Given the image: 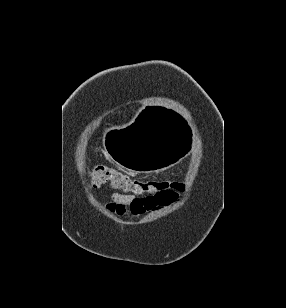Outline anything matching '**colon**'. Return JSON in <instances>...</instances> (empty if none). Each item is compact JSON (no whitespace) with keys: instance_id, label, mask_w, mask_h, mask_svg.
Wrapping results in <instances>:
<instances>
[{"instance_id":"obj_1","label":"colon","mask_w":286,"mask_h":308,"mask_svg":"<svg viewBox=\"0 0 286 308\" xmlns=\"http://www.w3.org/2000/svg\"><path fill=\"white\" fill-rule=\"evenodd\" d=\"M90 183L97 187L109 185L121 192L135 196L160 197L170 190H181L183 185L166 180H143L132 178L109 165H99L89 172Z\"/></svg>"}]
</instances>
